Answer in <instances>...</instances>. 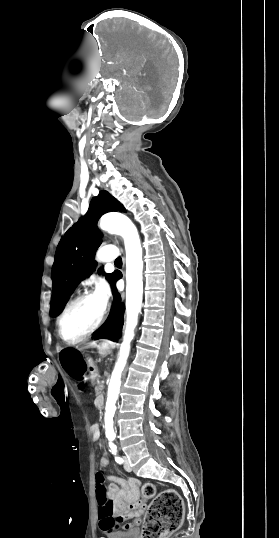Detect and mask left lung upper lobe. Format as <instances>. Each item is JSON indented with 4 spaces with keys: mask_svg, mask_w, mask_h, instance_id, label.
Wrapping results in <instances>:
<instances>
[{
    "mask_svg": "<svg viewBox=\"0 0 279 538\" xmlns=\"http://www.w3.org/2000/svg\"><path fill=\"white\" fill-rule=\"evenodd\" d=\"M111 211L126 212L125 208L107 191H101L90 203L88 212L79 219L64 235L55 253L53 264V300L50 314L56 317L77 284L90 274L96 250L101 244L98 219ZM113 287L116 282L114 273L106 274ZM112 310V309H111Z\"/></svg>",
    "mask_w": 279,
    "mask_h": 538,
    "instance_id": "1",
    "label": "left lung upper lobe"
}]
</instances>
